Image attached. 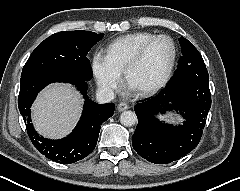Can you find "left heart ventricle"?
<instances>
[{"instance_id":"1","label":"left heart ventricle","mask_w":240,"mask_h":191,"mask_svg":"<svg viewBox=\"0 0 240 191\" xmlns=\"http://www.w3.org/2000/svg\"><path fill=\"white\" fill-rule=\"evenodd\" d=\"M171 56L172 47L168 40L160 39L154 42L143 61L130 73V87L140 89L157 84L164 76Z\"/></svg>"}]
</instances>
